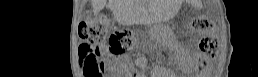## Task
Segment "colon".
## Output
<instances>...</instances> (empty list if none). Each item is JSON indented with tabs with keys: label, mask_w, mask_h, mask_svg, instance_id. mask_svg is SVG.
<instances>
[{
	"label": "colon",
	"mask_w": 258,
	"mask_h": 77,
	"mask_svg": "<svg viewBox=\"0 0 258 77\" xmlns=\"http://www.w3.org/2000/svg\"><path fill=\"white\" fill-rule=\"evenodd\" d=\"M194 28L201 35L199 50L206 57L213 59L218 52V40L213 34V24L205 17L194 20ZM83 40L79 47V56L83 62V72L86 77H100L102 70L98 61L99 51L106 46L113 53L128 50L135 40V34L130 30L109 32V21L104 16L92 17L84 22L80 29Z\"/></svg>",
	"instance_id": "colon-1"
}]
</instances>
